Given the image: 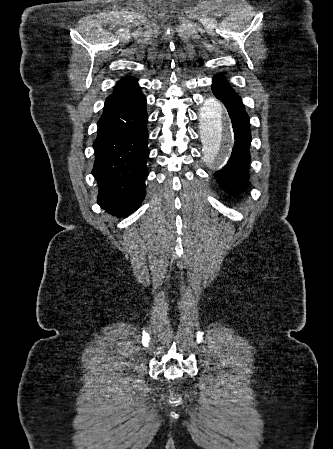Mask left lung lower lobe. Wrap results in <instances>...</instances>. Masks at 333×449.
<instances>
[{
  "instance_id": "left-lung-lower-lobe-1",
  "label": "left lung lower lobe",
  "mask_w": 333,
  "mask_h": 449,
  "mask_svg": "<svg viewBox=\"0 0 333 449\" xmlns=\"http://www.w3.org/2000/svg\"><path fill=\"white\" fill-rule=\"evenodd\" d=\"M212 91L228 110L235 140L227 165L215 172V178L225 190L240 193L246 189L249 178L251 143L249 117L241 98L229 87L224 76L216 75L213 78Z\"/></svg>"
}]
</instances>
